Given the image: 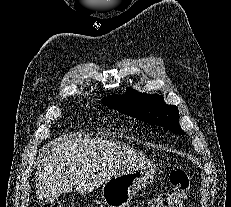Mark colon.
Returning a JSON list of instances; mask_svg holds the SVG:
<instances>
[{"instance_id":"5ec220e1","label":"colon","mask_w":231,"mask_h":207,"mask_svg":"<svg viewBox=\"0 0 231 207\" xmlns=\"http://www.w3.org/2000/svg\"><path fill=\"white\" fill-rule=\"evenodd\" d=\"M172 189L153 197L147 207H183L190 187L187 173L181 168H173L169 174ZM41 207H63L58 199H49Z\"/></svg>"}]
</instances>
